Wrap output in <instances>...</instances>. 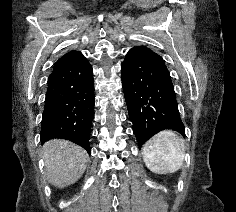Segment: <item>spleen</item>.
Segmentation results:
<instances>
[{
    "mask_svg": "<svg viewBox=\"0 0 236 212\" xmlns=\"http://www.w3.org/2000/svg\"><path fill=\"white\" fill-rule=\"evenodd\" d=\"M142 151L147 168L154 173H174L183 165L184 141L173 131L159 132L143 146Z\"/></svg>",
    "mask_w": 236,
    "mask_h": 212,
    "instance_id": "obj_1",
    "label": "spleen"
}]
</instances>
